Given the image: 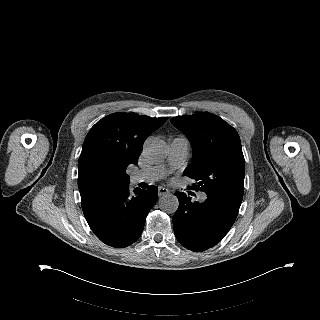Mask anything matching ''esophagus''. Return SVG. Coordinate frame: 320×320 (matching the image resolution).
<instances>
[{
    "instance_id": "obj_1",
    "label": "esophagus",
    "mask_w": 320,
    "mask_h": 320,
    "mask_svg": "<svg viewBox=\"0 0 320 320\" xmlns=\"http://www.w3.org/2000/svg\"><path fill=\"white\" fill-rule=\"evenodd\" d=\"M170 191L169 189L163 187V186H159L158 187V196H162L164 194H168Z\"/></svg>"
}]
</instances>
